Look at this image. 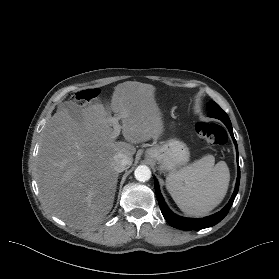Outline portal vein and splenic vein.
Returning a JSON list of instances; mask_svg holds the SVG:
<instances>
[{"instance_id":"portal-vein-and-splenic-vein-1","label":"portal vein and splenic vein","mask_w":279,"mask_h":279,"mask_svg":"<svg viewBox=\"0 0 279 279\" xmlns=\"http://www.w3.org/2000/svg\"><path fill=\"white\" fill-rule=\"evenodd\" d=\"M111 122H112L113 128H114L112 138L116 139L120 134L121 126L119 125V122H118L117 118H112Z\"/></svg>"}]
</instances>
